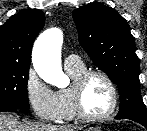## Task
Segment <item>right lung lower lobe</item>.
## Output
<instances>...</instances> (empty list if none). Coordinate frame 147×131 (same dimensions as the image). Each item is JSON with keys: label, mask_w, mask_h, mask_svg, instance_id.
Instances as JSON below:
<instances>
[{"label": "right lung lower lobe", "mask_w": 147, "mask_h": 131, "mask_svg": "<svg viewBox=\"0 0 147 131\" xmlns=\"http://www.w3.org/2000/svg\"><path fill=\"white\" fill-rule=\"evenodd\" d=\"M17 109L16 108H12V107H8V106H0V112H15Z\"/></svg>", "instance_id": "obj_1"}]
</instances>
